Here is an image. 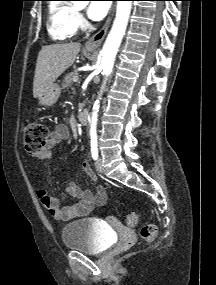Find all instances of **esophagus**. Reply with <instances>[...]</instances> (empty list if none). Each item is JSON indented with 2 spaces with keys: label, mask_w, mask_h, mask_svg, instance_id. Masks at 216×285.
<instances>
[{
  "label": "esophagus",
  "mask_w": 216,
  "mask_h": 285,
  "mask_svg": "<svg viewBox=\"0 0 216 285\" xmlns=\"http://www.w3.org/2000/svg\"><path fill=\"white\" fill-rule=\"evenodd\" d=\"M114 12H115V4H112V6L109 10L106 22L104 23L102 28L86 42V44H85L86 49L93 50V49L98 48L102 44V42H103V40L107 34V31L110 27L111 21H112L113 16H114Z\"/></svg>",
  "instance_id": "1"
}]
</instances>
